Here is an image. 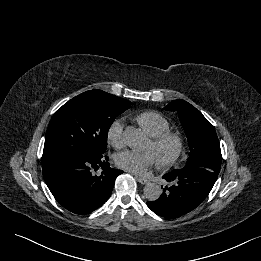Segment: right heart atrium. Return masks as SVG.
I'll return each mask as SVG.
<instances>
[{
	"label": "right heart atrium",
	"mask_w": 261,
	"mask_h": 261,
	"mask_svg": "<svg viewBox=\"0 0 261 261\" xmlns=\"http://www.w3.org/2000/svg\"><path fill=\"white\" fill-rule=\"evenodd\" d=\"M107 142L114 148L119 149L124 145L123 125L120 120H114L106 131Z\"/></svg>",
	"instance_id": "d8ad5b80"
}]
</instances>
